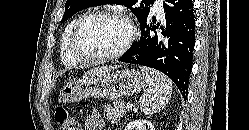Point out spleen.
<instances>
[{
    "mask_svg": "<svg viewBox=\"0 0 249 130\" xmlns=\"http://www.w3.org/2000/svg\"><path fill=\"white\" fill-rule=\"evenodd\" d=\"M148 88L140 98V109L151 115L165 108L172 94V82L164 74L148 67L140 66Z\"/></svg>",
    "mask_w": 249,
    "mask_h": 130,
    "instance_id": "1",
    "label": "spleen"
}]
</instances>
